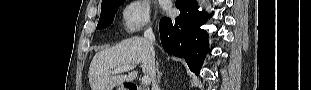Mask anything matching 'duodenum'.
I'll return each instance as SVG.
<instances>
[{
  "instance_id": "410a0bca",
  "label": "duodenum",
  "mask_w": 311,
  "mask_h": 90,
  "mask_svg": "<svg viewBox=\"0 0 311 90\" xmlns=\"http://www.w3.org/2000/svg\"><path fill=\"white\" fill-rule=\"evenodd\" d=\"M125 90H143V88L135 85V84H129Z\"/></svg>"
}]
</instances>
